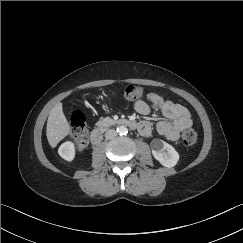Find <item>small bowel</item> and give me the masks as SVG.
Returning <instances> with one entry per match:
<instances>
[{"label": "small bowel", "instance_id": "obj_1", "mask_svg": "<svg viewBox=\"0 0 243 243\" xmlns=\"http://www.w3.org/2000/svg\"><path fill=\"white\" fill-rule=\"evenodd\" d=\"M151 107L160 109L166 118L157 122L156 131L168 140H178L180 133L192 126L190 113L184 106L166 99L157 92H150L134 103V109L143 115L149 114ZM138 124V131L142 136L149 137L152 134L153 128L149 121H141Z\"/></svg>", "mask_w": 243, "mask_h": 243}]
</instances>
